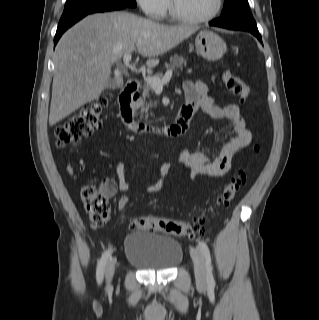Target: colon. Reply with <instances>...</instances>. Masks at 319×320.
Wrapping results in <instances>:
<instances>
[{
  "label": "colon",
  "mask_w": 319,
  "mask_h": 320,
  "mask_svg": "<svg viewBox=\"0 0 319 320\" xmlns=\"http://www.w3.org/2000/svg\"><path fill=\"white\" fill-rule=\"evenodd\" d=\"M223 83L235 96L242 100L250 97L252 89L239 76L224 72ZM108 104L106 97H99L93 102L85 104L77 113L56 129V142L64 147L91 136L102 126V112ZM246 175H239L228 182L217 195V202L222 207H228L237 192L245 185ZM115 184L112 180H104L99 187L87 186L82 190L84 208L95 225H104L110 217L108 197L114 192ZM127 202V200H124ZM130 226L153 232H163L180 237H193L204 232V222L201 219L184 221L164 216L142 215L133 217Z\"/></svg>",
  "instance_id": "1"
}]
</instances>
